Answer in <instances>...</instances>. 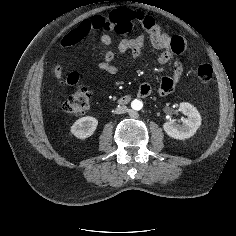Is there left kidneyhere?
Segmentation results:
<instances>
[{
    "label": "left kidney",
    "instance_id": "1",
    "mask_svg": "<svg viewBox=\"0 0 236 236\" xmlns=\"http://www.w3.org/2000/svg\"><path fill=\"white\" fill-rule=\"evenodd\" d=\"M179 110L187 115V118L181 119L182 124H176L173 120H170L164 123L163 128L168 136L174 139L184 140L196 133L201 125L202 119L198 110L190 103H180Z\"/></svg>",
    "mask_w": 236,
    "mask_h": 236
}]
</instances>
